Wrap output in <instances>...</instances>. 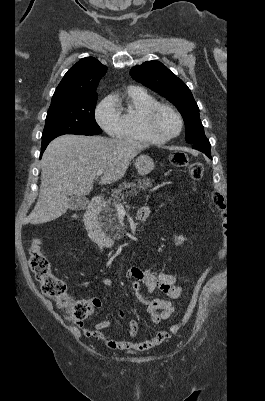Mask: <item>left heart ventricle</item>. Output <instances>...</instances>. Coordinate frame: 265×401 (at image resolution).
<instances>
[{
    "mask_svg": "<svg viewBox=\"0 0 265 401\" xmlns=\"http://www.w3.org/2000/svg\"><path fill=\"white\" fill-rule=\"evenodd\" d=\"M180 124L176 116L166 110H159L151 121L153 135L158 139H166L176 135Z\"/></svg>",
    "mask_w": 265,
    "mask_h": 401,
    "instance_id": "left-heart-ventricle-1",
    "label": "left heart ventricle"
}]
</instances>
